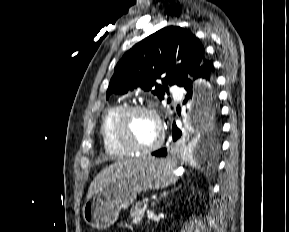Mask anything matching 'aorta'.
<instances>
[{"label": "aorta", "instance_id": "obj_1", "mask_svg": "<svg viewBox=\"0 0 289 232\" xmlns=\"http://www.w3.org/2000/svg\"><path fill=\"white\" fill-rule=\"evenodd\" d=\"M201 104H203V111L197 123L202 121V119H204V117H207L212 111V101L210 95H207L206 93L203 94Z\"/></svg>", "mask_w": 289, "mask_h": 232}]
</instances>
